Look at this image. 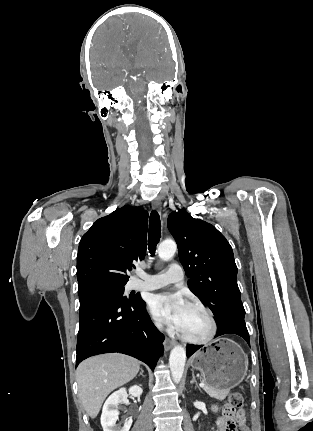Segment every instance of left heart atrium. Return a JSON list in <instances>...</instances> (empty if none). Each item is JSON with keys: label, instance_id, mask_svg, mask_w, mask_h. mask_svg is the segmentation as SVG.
Here are the masks:
<instances>
[{"label": "left heart atrium", "instance_id": "39dd6f15", "mask_svg": "<svg viewBox=\"0 0 313 431\" xmlns=\"http://www.w3.org/2000/svg\"><path fill=\"white\" fill-rule=\"evenodd\" d=\"M188 307L180 294H157L150 301L152 314L178 331L183 328Z\"/></svg>", "mask_w": 313, "mask_h": 431}]
</instances>
